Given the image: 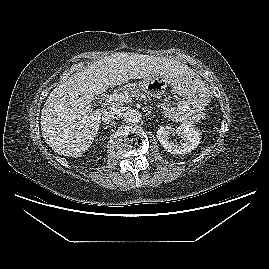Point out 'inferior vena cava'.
Listing matches in <instances>:
<instances>
[{"instance_id": "1", "label": "inferior vena cava", "mask_w": 269, "mask_h": 269, "mask_svg": "<svg viewBox=\"0 0 269 269\" xmlns=\"http://www.w3.org/2000/svg\"><path fill=\"white\" fill-rule=\"evenodd\" d=\"M122 107L112 106L107 109H104L102 112V120L109 124L114 121L117 117L122 115Z\"/></svg>"}]
</instances>
